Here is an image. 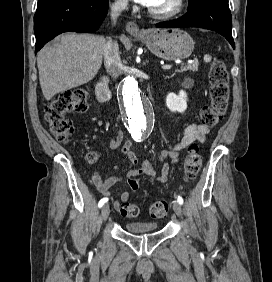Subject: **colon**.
Returning a JSON list of instances; mask_svg holds the SVG:
<instances>
[{
    "label": "colon",
    "instance_id": "1",
    "mask_svg": "<svg viewBox=\"0 0 272 282\" xmlns=\"http://www.w3.org/2000/svg\"><path fill=\"white\" fill-rule=\"evenodd\" d=\"M210 99L209 105L202 107L200 116L205 126L216 125L224 116L230 98L229 75L226 66L218 60L211 63L209 67ZM87 111L86 94L82 91L71 94L64 93L50 101L46 108L45 120L49 125L54 138L59 142H66L74 134L75 127L72 121L66 118L71 112L84 113ZM96 159L94 153L88 155V160L93 162ZM201 156L199 147L191 144L184 159V178L194 179L201 167ZM130 186L139 185L136 176L128 179ZM168 203L164 200L156 201L150 207V214L154 218H163L168 211ZM121 215L136 217L140 214V208L129 202H124L119 207Z\"/></svg>",
    "mask_w": 272,
    "mask_h": 282
}]
</instances>
